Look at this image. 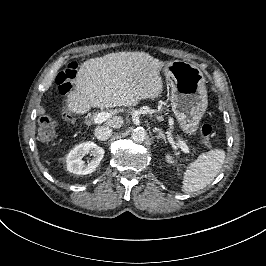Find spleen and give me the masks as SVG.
Wrapping results in <instances>:
<instances>
[{
  "label": "spleen",
  "mask_w": 266,
  "mask_h": 266,
  "mask_svg": "<svg viewBox=\"0 0 266 266\" xmlns=\"http://www.w3.org/2000/svg\"><path fill=\"white\" fill-rule=\"evenodd\" d=\"M225 156V151L220 148L200 154L182 171V191L197 192L208 186L221 171Z\"/></svg>",
  "instance_id": "3e777b00"
}]
</instances>
